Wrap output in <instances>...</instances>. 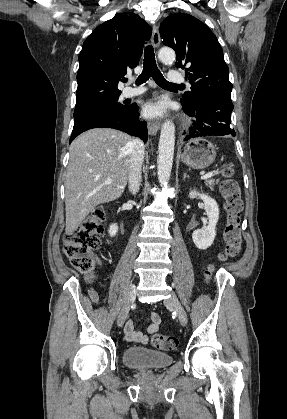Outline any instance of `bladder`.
Returning <instances> with one entry per match:
<instances>
[{
    "instance_id": "1",
    "label": "bladder",
    "mask_w": 287,
    "mask_h": 419,
    "mask_svg": "<svg viewBox=\"0 0 287 419\" xmlns=\"http://www.w3.org/2000/svg\"><path fill=\"white\" fill-rule=\"evenodd\" d=\"M122 361L138 370H159L172 363V356L146 347H128L122 353Z\"/></svg>"
}]
</instances>
